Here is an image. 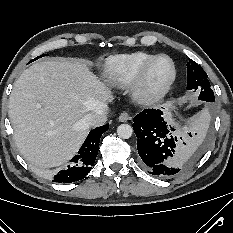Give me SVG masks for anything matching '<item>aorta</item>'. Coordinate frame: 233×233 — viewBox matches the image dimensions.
Returning <instances> with one entry per match:
<instances>
[{
  "label": "aorta",
  "instance_id": "1",
  "mask_svg": "<svg viewBox=\"0 0 233 233\" xmlns=\"http://www.w3.org/2000/svg\"><path fill=\"white\" fill-rule=\"evenodd\" d=\"M132 133L133 129L129 124H121L117 128V134L122 139H129Z\"/></svg>",
  "mask_w": 233,
  "mask_h": 233
}]
</instances>
